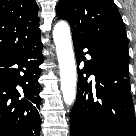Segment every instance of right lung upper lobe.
Listing matches in <instances>:
<instances>
[{"label":"right lung upper lobe","mask_w":136,"mask_h":136,"mask_svg":"<svg viewBox=\"0 0 136 136\" xmlns=\"http://www.w3.org/2000/svg\"><path fill=\"white\" fill-rule=\"evenodd\" d=\"M35 0H0V56L17 52L38 39Z\"/></svg>","instance_id":"cb5924a9"}]
</instances>
